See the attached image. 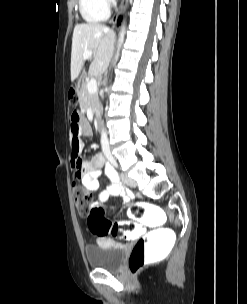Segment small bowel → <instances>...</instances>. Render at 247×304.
Returning <instances> with one entry per match:
<instances>
[{"label": "small bowel", "mask_w": 247, "mask_h": 304, "mask_svg": "<svg viewBox=\"0 0 247 304\" xmlns=\"http://www.w3.org/2000/svg\"><path fill=\"white\" fill-rule=\"evenodd\" d=\"M71 119H82V112H71ZM70 159L74 169L75 177L80 180L83 188L87 191H97L99 188V176L104 171L107 179V187L98 195V203H105L110 197L120 196L125 202L129 201L133 194L125 190L119 183L116 171L112 165L105 161L102 154L93 156L90 160H83V135H91V129L83 120H72L70 125Z\"/></svg>", "instance_id": "obj_1"}]
</instances>
